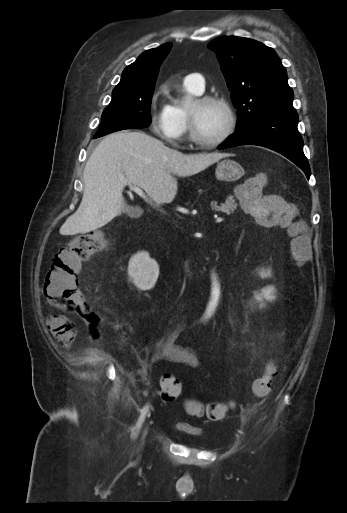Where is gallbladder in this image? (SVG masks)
Wrapping results in <instances>:
<instances>
[{
  "instance_id": "gallbladder-1",
  "label": "gallbladder",
  "mask_w": 347,
  "mask_h": 513,
  "mask_svg": "<svg viewBox=\"0 0 347 513\" xmlns=\"http://www.w3.org/2000/svg\"><path fill=\"white\" fill-rule=\"evenodd\" d=\"M125 212H126L129 216H133V215L136 213V211H135L133 208L129 207V206L125 208Z\"/></svg>"
}]
</instances>
